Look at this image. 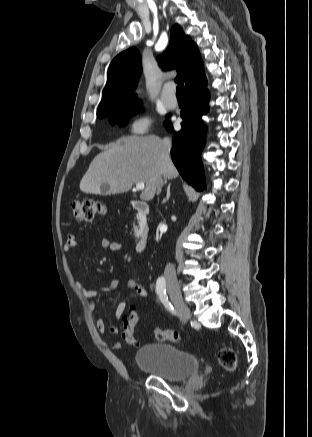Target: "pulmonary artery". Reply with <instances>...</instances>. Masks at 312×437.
I'll list each match as a JSON object with an SVG mask.
<instances>
[{
    "instance_id": "pulmonary-artery-1",
    "label": "pulmonary artery",
    "mask_w": 312,
    "mask_h": 437,
    "mask_svg": "<svg viewBox=\"0 0 312 437\" xmlns=\"http://www.w3.org/2000/svg\"><path fill=\"white\" fill-rule=\"evenodd\" d=\"M160 98L167 108H175L177 105V97L174 94L170 83L162 88Z\"/></svg>"
}]
</instances>
